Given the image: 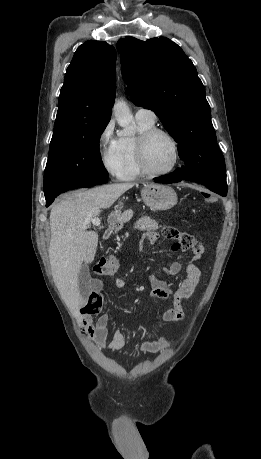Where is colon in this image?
Returning a JSON list of instances; mask_svg holds the SVG:
<instances>
[{
	"label": "colon",
	"mask_w": 261,
	"mask_h": 459,
	"mask_svg": "<svg viewBox=\"0 0 261 459\" xmlns=\"http://www.w3.org/2000/svg\"><path fill=\"white\" fill-rule=\"evenodd\" d=\"M200 196L204 197L205 201L208 203L216 202V198L213 195L212 188H201ZM163 234L166 238H169L173 235V230L170 227H167L163 230ZM118 268V261L115 257H101L94 264L93 270L98 275H111L116 272ZM103 305V296L100 293H92L88 304L83 309V314L88 316L97 315Z\"/></svg>",
	"instance_id": "obj_1"
}]
</instances>
